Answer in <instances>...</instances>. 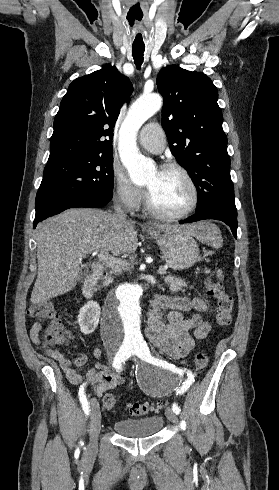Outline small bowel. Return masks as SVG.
<instances>
[{
    "label": "small bowel",
    "mask_w": 279,
    "mask_h": 490,
    "mask_svg": "<svg viewBox=\"0 0 279 490\" xmlns=\"http://www.w3.org/2000/svg\"><path fill=\"white\" fill-rule=\"evenodd\" d=\"M190 309L203 312L208 309V305L200 298L159 294L155 295L150 302L145 335L161 354L170 359L179 360L186 357L195 347V340L205 338L210 332V323L204 321L200 315H194L189 319L183 317L182 312ZM42 327L43 322L37 321L30 329V338L36 345L41 343ZM44 352L59 363L72 384L80 389L93 386L98 397L107 390L116 388L124 380L122 374L104 366L99 361L102 356V350L99 347L92 351V356L96 360L95 365L85 374L78 373L75 366L84 365L87 362L86 355H81L72 361L59 350L46 349Z\"/></svg>",
    "instance_id": "1"
}]
</instances>
